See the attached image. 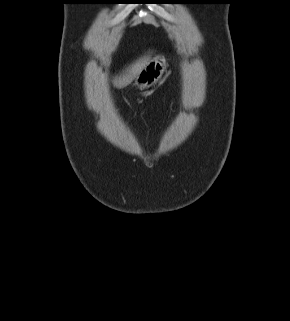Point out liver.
<instances>
[{"mask_svg":"<svg viewBox=\"0 0 290 321\" xmlns=\"http://www.w3.org/2000/svg\"><path fill=\"white\" fill-rule=\"evenodd\" d=\"M150 59V56H145L136 61L122 76L115 80L116 87L122 88L127 86L133 79L136 78L138 73L145 67Z\"/></svg>","mask_w":290,"mask_h":321,"instance_id":"obj_1","label":"liver"}]
</instances>
